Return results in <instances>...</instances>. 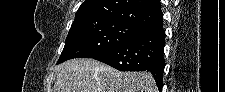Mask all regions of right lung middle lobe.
I'll return each mask as SVG.
<instances>
[{"label":"right lung middle lobe","instance_id":"dd1d6c3e","mask_svg":"<svg viewBox=\"0 0 225 92\" xmlns=\"http://www.w3.org/2000/svg\"><path fill=\"white\" fill-rule=\"evenodd\" d=\"M141 33V30L120 22L71 27L57 64L72 58H92L105 50L129 42Z\"/></svg>","mask_w":225,"mask_h":92}]
</instances>
